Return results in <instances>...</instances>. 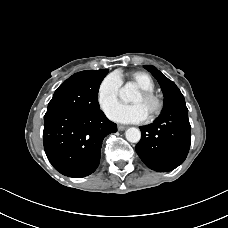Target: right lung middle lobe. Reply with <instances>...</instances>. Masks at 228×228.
<instances>
[{"label": "right lung middle lobe", "instance_id": "right-lung-middle-lobe-1", "mask_svg": "<svg viewBox=\"0 0 228 228\" xmlns=\"http://www.w3.org/2000/svg\"><path fill=\"white\" fill-rule=\"evenodd\" d=\"M108 70H87L75 73L55 91L47 112L66 110L95 112L99 110L98 91Z\"/></svg>", "mask_w": 228, "mask_h": 228}]
</instances>
